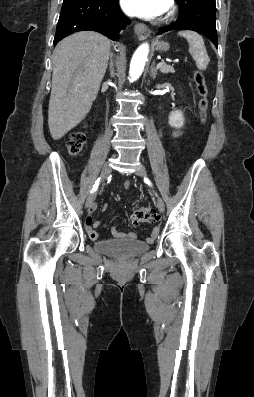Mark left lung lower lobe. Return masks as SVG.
Wrapping results in <instances>:
<instances>
[{
    "label": "left lung lower lobe",
    "mask_w": 254,
    "mask_h": 397,
    "mask_svg": "<svg viewBox=\"0 0 254 397\" xmlns=\"http://www.w3.org/2000/svg\"><path fill=\"white\" fill-rule=\"evenodd\" d=\"M180 9L177 21L158 29V35L176 29L194 30L208 37L216 47L215 0H176Z\"/></svg>",
    "instance_id": "obj_1"
}]
</instances>
